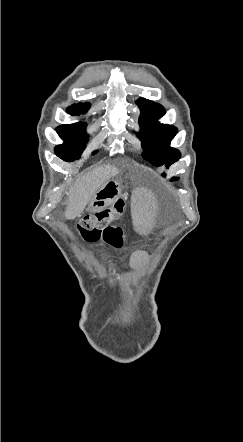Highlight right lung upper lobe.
Here are the masks:
<instances>
[{
	"label": "right lung upper lobe",
	"instance_id": "1",
	"mask_svg": "<svg viewBox=\"0 0 243 442\" xmlns=\"http://www.w3.org/2000/svg\"><path fill=\"white\" fill-rule=\"evenodd\" d=\"M89 107V103H78L69 107L68 110L71 115H79L81 113H85L89 109Z\"/></svg>",
	"mask_w": 243,
	"mask_h": 442
}]
</instances>
